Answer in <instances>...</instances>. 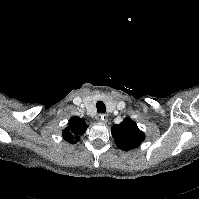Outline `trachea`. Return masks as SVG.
I'll return each instance as SVG.
<instances>
[{"instance_id": "trachea-1", "label": "trachea", "mask_w": 199, "mask_h": 199, "mask_svg": "<svg viewBox=\"0 0 199 199\" xmlns=\"http://www.w3.org/2000/svg\"><path fill=\"white\" fill-rule=\"evenodd\" d=\"M96 107H97L98 113H105L106 106L102 101H98L97 104H96Z\"/></svg>"}]
</instances>
